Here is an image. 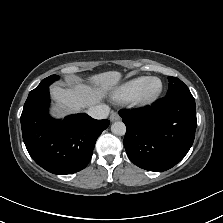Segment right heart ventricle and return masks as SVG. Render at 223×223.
Segmentation results:
<instances>
[{
	"instance_id": "e07e8e85",
	"label": "right heart ventricle",
	"mask_w": 223,
	"mask_h": 223,
	"mask_svg": "<svg viewBox=\"0 0 223 223\" xmlns=\"http://www.w3.org/2000/svg\"><path fill=\"white\" fill-rule=\"evenodd\" d=\"M144 77H134L132 79H129L122 85H120L118 88H116L112 94V98L117 103H124L135 94V92L138 90L139 86L141 85Z\"/></svg>"
}]
</instances>
